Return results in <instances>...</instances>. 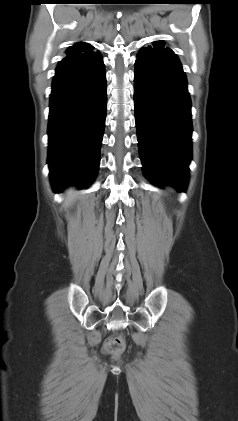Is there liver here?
Listing matches in <instances>:
<instances>
[{
	"instance_id": "obj_1",
	"label": "liver",
	"mask_w": 238,
	"mask_h": 421,
	"mask_svg": "<svg viewBox=\"0 0 238 421\" xmlns=\"http://www.w3.org/2000/svg\"><path fill=\"white\" fill-rule=\"evenodd\" d=\"M75 198V194L73 192V190H69L67 192V200H66V204L69 205Z\"/></svg>"
}]
</instances>
